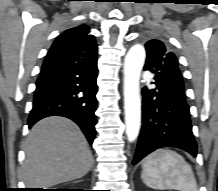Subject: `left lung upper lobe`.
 <instances>
[{
	"instance_id": "1",
	"label": "left lung upper lobe",
	"mask_w": 218,
	"mask_h": 191,
	"mask_svg": "<svg viewBox=\"0 0 218 191\" xmlns=\"http://www.w3.org/2000/svg\"><path fill=\"white\" fill-rule=\"evenodd\" d=\"M147 51L146 64L159 73L164 79V87L174 89L175 86L184 90V83L179 62L173 52L159 40H150L145 44Z\"/></svg>"
}]
</instances>
